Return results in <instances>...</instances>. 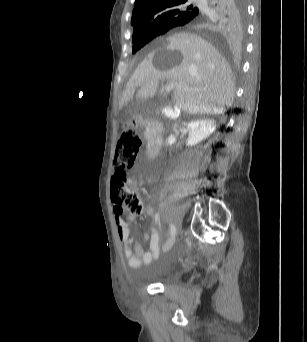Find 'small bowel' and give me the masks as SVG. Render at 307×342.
I'll return each instance as SVG.
<instances>
[{"label": "small bowel", "instance_id": "obj_1", "mask_svg": "<svg viewBox=\"0 0 307 342\" xmlns=\"http://www.w3.org/2000/svg\"><path fill=\"white\" fill-rule=\"evenodd\" d=\"M154 214L152 208L145 211L146 217H152ZM129 221H132L129 219ZM115 225L117 235L122 243L125 258L129 267L139 268L144 264H149L153 259L159 256L160 234L156 227H152V232L145 233L144 237L149 242V250L144 251L143 248L132 238L129 224L120 216L115 217Z\"/></svg>", "mask_w": 307, "mask_h": 342}]
</instances>
